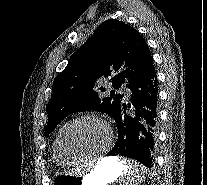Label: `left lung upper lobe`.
Wrapping results in <instances>:
<instances>
[{
  "label": "left lung upper lobe",
  "instance_id": "5c2ea615",
  "mask_svg": "<svg viewBox=\"0 0 207 185\" xmlns=\"http://www.w3.org/2000/svg\"><path fill=\"white\" fill-rule=\"evenodd\" d=\"M152 65L148 45L136 29L119 20L104 21L54 79L45 135L73 112L93 110L115 119L123 102V95L115 89L122 83L129 88ZM107 77L114 90L110 97L100 98L99 90L104 92L105 88H97V84Z\"/></svg>",
  "mask_w": 207,
  "mask_h": 185
}]
</instances>
